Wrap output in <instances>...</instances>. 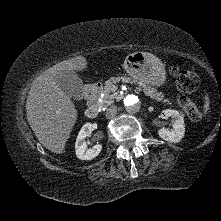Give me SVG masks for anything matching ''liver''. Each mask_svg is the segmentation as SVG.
Wrapping results in <instances>:
<instances>
[{
  "label": "liver",
  "instance_id": "1",
  "mask_svg": "<svg viewBox=\"0 0 221 221\" xmlns=\"http://www.w3.org/2000/svg\"><path fill=\"white\" fill-rule=\"evenodd\" d=\"M86 67L87 60L82 56L59 62L36 77L29 90L28 123L39 142L56 154L63 153L77 120V110L57 85L56 75L61 71H82Z\"/></svg>",
  "mask_w": 221,
  "mask_h": 221
}]
</instances>
